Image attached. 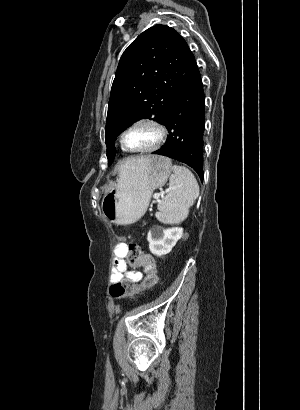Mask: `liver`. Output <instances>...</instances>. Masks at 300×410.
I'll use <instances>...</instances> for the list:
<instances>
[{"label":"liver","instance_id":"obj_1","mask_svg":"<svg viewBox=\"0 0 300 410\" xmlns=\"http://www.w3.org/2000/svg\"><path fill=\"white\" fill-rule=\"evenodd\" d=\"M147 158V156H141V157H131L126 160L124 165L126 167H134L138 164H140L142 161H144Z\"/></svg>","mask_w":300,"mask_h":410}]
</instances>
